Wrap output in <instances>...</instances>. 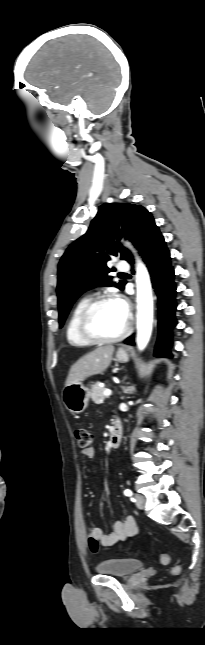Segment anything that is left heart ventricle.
<instances>
[{
	"instance_id": "1",
	"label": "left heart ventricle",
	"mask_w": 205,
	"mask_h": 645,
	"mask_svg": "<svg viewBox=\"0 0 205 645\" xmlns=\"http://www.w3.org/2000/svg\"><path fill=\"white\" fill-rule=\"evenodd\" d=\"M127 322L114 301L103 303L93 313L91 326L93 331L104 337H111L120 333Z\"/></svg>"
}]
</instances>
